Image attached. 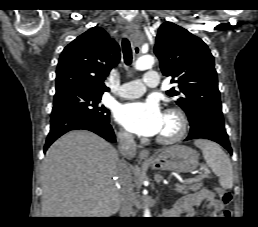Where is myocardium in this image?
<instances>
[{
	"label": "myocardium",
	"instance_id": "f54148a6",
	"mask_svg": "<svg viewBox=\"0 0 258 227\" xmlns=\"http://www.w3.org/2000/svg\"><path fill=\"white\" fill-rule=\"evenodd\" d=\"M165 115L176 120L177 130L169 136L158 135L156 141L163 145H170L180 141L185 136L188 128V120L184 112L177 108H168L165 111Z\"/></svg>",
	"mask_w": 258,
	"mask_h": 227
}]
</instances>
